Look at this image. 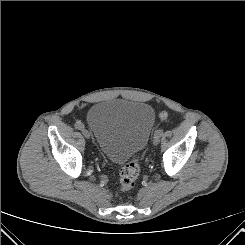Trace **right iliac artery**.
<instances>
[{"mask_svg": "<svg viewBox=\"0 0 245 245\" xmlns=\"http://www.w3.org/2000/svg\"><path fill=\"white\" fill-rule=\"evenodd\" d=\"M74 126L76 129L79 130H82L84 128V125L81 122H76Z\"/></svg>", "mask_w": 245, "mask_h": 245, "instance_id": "obj_1", "label": "right iliac artery"}]
</instances>
